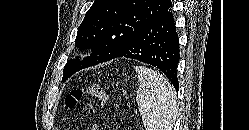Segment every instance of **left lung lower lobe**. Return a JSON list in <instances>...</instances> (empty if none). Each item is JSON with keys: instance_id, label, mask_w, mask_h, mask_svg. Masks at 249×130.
I'll list each match as a JSON object with an SVG mask.
<instances>
[{"instance_id": "1", "label": "left lung lower lobe", "mask_w": 249, "mask_h": 130, "mask_svg": "<svg viewBox=\"0 0 249 130\" xmlns=\"http://www.w3.org/2000/svg\"><path fill=\"white\" fill-rule=\"evenodd\" d=\"M127 57L159 68L178 91L179 38L170 10L140 31L111 59Z\"/></svg>"}]
</instances>
